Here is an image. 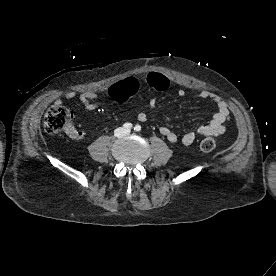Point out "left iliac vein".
<instances>
[{"mask_svg":"<svg viewBox=\"0 0 276 276\" xmlns=\"http://www.w3.org/2000/svg\"><path fill=\"white\" fill-rule=\"evenodd\" d=\"M129 133H130V131H126V132H125V134H129Z\"/></svg>","mask_w":276,"mask_h":276,"instance_id":"obj_1","label":"left iliac vein"}]
</instances>
